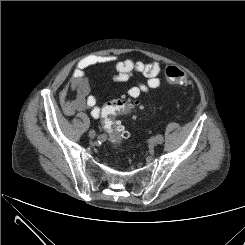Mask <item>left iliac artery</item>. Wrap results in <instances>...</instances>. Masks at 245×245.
I'll return each mask as SVG.
<instances>
[{
	"mask_svg": "<svg viewBox=\"0 0 245 245\" xmlns=\"http://www.w3.org/2000/svg\"><path fill=\"white\" fill-rule=\"evenodd\" d=\"M156 138H157L158 144L163 143V137L161 135H157Z\"/></svg>",
	"mask_w": 245,
	"mask_h": 245,
	"instance_id": "obj_1",
	"label": "left iliac artery"
}]
</instances>
